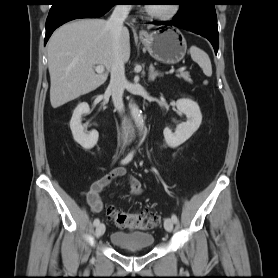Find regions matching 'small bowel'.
I'll use <instances>...</instances> for the list:
<instances>
[{"label":"small bowel","instance_id":"c3829d8e","mask_svg":"<svg viewBox=\"0 0 278 278\" xmlns=\"http://www.w3.org/2000/svg\"><path fill=\"white\" fill-rule=\"evenodd\" d=\"M125 175L126 169L124 167H117L91 185L89 191L86 194V201L93 212L99 213L103 209L100 193L106 187H108L114 179ZM128 183L132 195L137 196L142 193V185L137 178L129 176Z\"/></svg>","mask_w":278,"mask_h":278}]
</instances>
